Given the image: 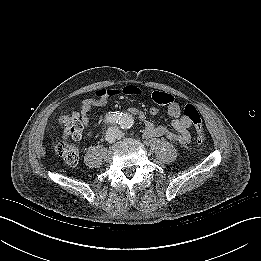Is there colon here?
<instances>
[{
  "instance_id": "5ec220e1",
  "label": "colon",
  "mask_w": 261,
  "mask_h": 261,
  "mask_svg": "<svg viewBox=\"0 0 261 261\" xmlns=\"http://www.w3.org/2000/svg\"><path fill=\"white\" fill-rule=\"evenodd\" d=\"M141 90L134 85H128L121 89H101L97 91L99 97H110L119 94L138 95ZM153 100L159 105H165L174 100V97L165 92L154 91L152 93ZM184 115L190 119L196 131V143L198 146L204 144L205 135L203 130L202 118L197 108L192 104H187L184 108ZM60 122L63 125V135L68 139H78L81 136L84 125L76 111L64 113L60 116ZM57 154L68 164L75 165L79 158V148L74 144L60 142L56 146Z\"/></svg>"
}]
</instances>
